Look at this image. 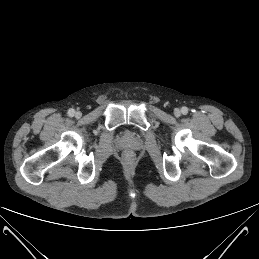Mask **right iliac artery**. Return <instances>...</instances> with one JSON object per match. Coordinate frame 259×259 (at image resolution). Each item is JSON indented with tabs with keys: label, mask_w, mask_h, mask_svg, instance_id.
Listing matches in <instances>:
<instances>
[{
	"label": "right iliac artery",
	"mask_w": 259,
	"mask_h": 259,
	"mask_svg": "<svg viewBox=\"0 0 259 259\" xmlns=\"http://www.w3.org/2000/svg\"><path fill=\"white\" fill-rule=\"evenodd\" d=\"M74 114H75V110H74V109L71 108V109L68 110V115H69L70 117H73Z\"/></svg>",
	"instance_id": "1"
}]
</instances>
